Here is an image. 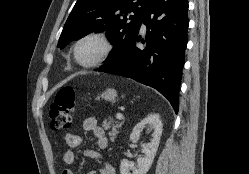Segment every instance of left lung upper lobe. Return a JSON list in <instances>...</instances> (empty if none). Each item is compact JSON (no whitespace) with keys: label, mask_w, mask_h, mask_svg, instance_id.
<instances>
[{"label":"left lung upper lobe","mask_w":249,"mask_h":174,"mask_svg":"<svg viewBox=\"0 0 249 174\" xmlns=\"http://www.w3.org/2000/svg\"><path fill=\"white\" fill-rule=\"evenodd\" d=\"M151 0H78L61 33L57 47L80 39L91 32H107L115 46L106 64L111 66L138 35L142 19ZM130 13L129 18L127 16Z\"/></svg>","instance_id":"left-lung-upper-lobe-1"}]
</instances>
